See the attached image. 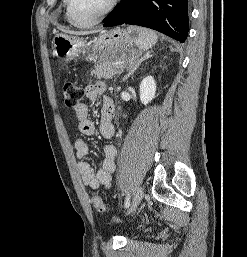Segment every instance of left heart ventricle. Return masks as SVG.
<instances>
[{
  "mask_svg": "<svg viewBox=\"0 0 247 257\" xmlns=\"http://www.w3.org/2000/svg\"><path fill=\"white\" fill-rule=\"evenodd\" d=\"M111 0H72L74 17L80 22L95 19L108 6Z\"/></svg>",
  "mask_w": 247,
  "mask_h": 257,
  "instance_id": "left-heart-ventricle-1",
  "label": "left heart ventricle"
}]
</instances>
